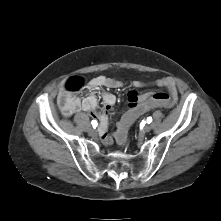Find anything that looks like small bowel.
I'll use <instances>...</instances> for the list:
<instances>
[{"label":"small bowel","instance_id":"obj_1","mask_svg":"<svg viewBox=\"0 0 221 221\" xmlns=\"http://www.w3.org/2000/svg\"><path fill=\"white\" fill-rule=\"evenodd\" d=\"M159 87H164L167 89L168 94H166L171 99V107L178 98V90L176 82L171 77H163L156 81ZM134 85L136 87L143 86V82L135 81ZM122 86V82L106 76H97L90 80L88 84L89 93L84 98H79L73 94L66 93L62 91L59 95V99L63 96L68 98L67 114L71 115L76 111H85L89 113L94 118L99 121V135L103 143L111 144L113 140L117 138V130L113 136L109 135V114L116 103V97L114 94L108 91H102L101 97L104 103V110L98 111V98L94 94V91L99 88H119ZM151 98L150 92L137 93L136 91H130L128 94L129 107L132 105H138L143 103L145 100ZM139 117V116H138ZM119 123V122H118ZM133 123V122H132Z\"/></svg>","mask_w":221,"mask_h":221}]
</instances>
